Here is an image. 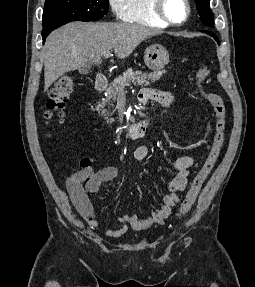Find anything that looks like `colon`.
<instances>
[{
    "label": "colon",
    "mask_w": 255,
    "mask_h": 287,
    "mask_svg": "<svg viewBox=\"0 0 255 287\" xmlns=\"http://www.w3.org/2000/svg\"><path fill=\"white\" fill-rule=\"evenodd\" d=\"M208 74L209 69L206 66H202L197 70L196 78L202 94L213 106L216 116L215 131L207 157L200 170L194 177L184 199L181 202V206L177 214L179 217L184 216L195 202L205 180L211 173L220 155V151L224 143L226 109L223 99L219 95L203 89V83ZM73 88L74 80L73 77L69 74L61 76L56 81L54 87L50 91L49 99L46 105L47 109L45 112V117L48 121L55 120L58 123L63 122L64 107L70 94L73 91ZM80 164L81 167L88 166L89 160L82 159Z\"/></svg>",
    "instance_id": "obj_1"
}]
</instances>
